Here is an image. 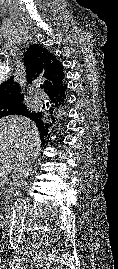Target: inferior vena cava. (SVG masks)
<instances>
[{
    "mask_svg": "<svg viewBox=\"0 0 118 269\" xmlns=\"http://www.w3.org/2000/svg\"><path fill=\"white\" fill-rule=\"evenodd\" d=\"M33 161L34 160L31 157H28L23 159L22 162L19 164L15 177L16 186L18 188H20L28 178L32 169Z\"/></svg>",
    "mask_w": 118,
    "mask_h": 269,
    "instance_id": "1",
    "label": "inferior vena cava"
}]
</instances>
